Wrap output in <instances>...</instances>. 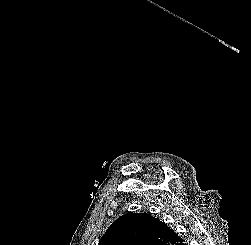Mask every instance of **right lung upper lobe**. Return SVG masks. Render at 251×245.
Segmentation results:
<instances>
[{
	"mask_svg": "<svg viewBox=\"0 0 251 245\" xmlns=\"http://www.w3.org/2000/svg\"><path fill=\"white\" fill-rule=\"evenodd\" d=\"M180 237L147 213H126L114 221L98 245H176Z\"/></svg>",
	"mask_w": 251,
	"mask_h": 245,
	"instance_id": "right-lung-upper-lobe-1",
	"label": "right lung upper lobe"
}]
</instances>
